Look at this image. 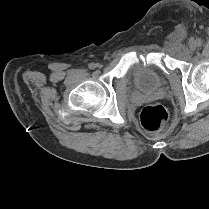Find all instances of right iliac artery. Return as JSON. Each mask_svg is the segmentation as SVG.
Instances as JSON below:
<instances>
[{
	"instance_id": "right-iliac-artery-1",
	"label": "right iliac artery",
	"mask_w": 209,
	"mask_h": 209,
	"mask_svg": "<svg viewBox=\"0 0 209 209\" xmlns=\"http://www.w3.org/2000/svg\"><path fill=\"white\" fill-rule=\"evenodd\" d=\"M88 66H89V69H94V68H96V64H94V63H90Z\"/></svg>"
}]
</instances>
